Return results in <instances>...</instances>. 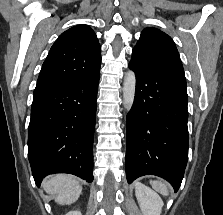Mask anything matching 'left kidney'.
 I'll use <instances>...</instances> for the list:
<instances>
[{
    "label": "left kidney",
    "mask_w": 223,
    "mask_h": 215,
    "mask_svg": "<svg viewBox=\"0 0 223 215\" xmlns=\"http://www.w3.org/2000/svg\"><path fill=\"white\" fill-rule=\"evenodd\" d=\"M135 195L143 215H160L164 203L156 191L137 181L135 183Z\"/></svg>",
    "instance_id": "1"
}]
</instances>
